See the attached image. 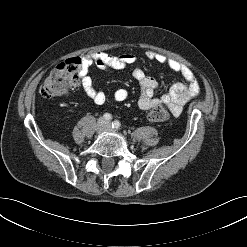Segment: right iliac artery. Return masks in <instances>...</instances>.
<instances>
[{
    "label": "right iliac artery",
    "mask_w": 247,
    "mask_h": 247,
    "mask_svg": "<svg viewBox=\"0 0 247 247\" xmlns=\"http://www.w3.org/2000/svg\"><path fill=\"white\" fill-rule=\"evenodd\" d=\"M103 117H104L105 120H108V121L112 119V115L109 114V113H105V114L103 115Z\"/></svg>",
    "instance_id": "obj_1"
}]
</instances>
